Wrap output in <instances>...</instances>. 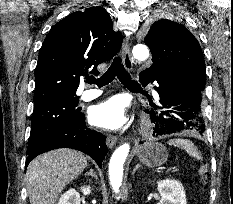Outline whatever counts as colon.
I'll use <instances>...</instances> for the list:
<instances>
[{
    "instance_id": "5ec220e1",
    "label": "colon",
    "mask_w": 233,
    "mask_h": 204,
    "mask_svg": "<svg viewBox=\"0 0 233 204\" xmlns=\"http://www.w3.org/2000/svg\"><path fill=\"white\" fill-rule=\"evenodd\" d=\"M201 183L206 186L209 181V171L205 165H202L198 170Z\"/></svg>"
}]
</instances>
